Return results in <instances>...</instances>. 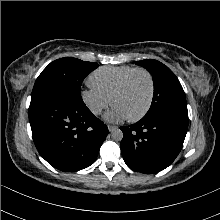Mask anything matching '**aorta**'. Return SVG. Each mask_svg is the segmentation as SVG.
Returning <instances> with one entry per match:
<instances>
[{"instance_id": "obj_1", "label": "aorta", "mask_w": 220, "mask_h": 220, "mask_svg": "<svg viewBox=\"0 0 220 220\" xmlns=\"http://www.w3.org/2000/svg\"><path fill=\"white\" fill-rule=\"evenodd\" d=\"M111 137L116 141H121L123 138V132L120 129L115 128L111 132Z\"/></svg>"}]
</instances>
